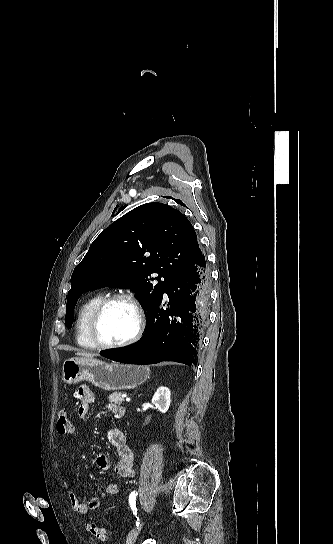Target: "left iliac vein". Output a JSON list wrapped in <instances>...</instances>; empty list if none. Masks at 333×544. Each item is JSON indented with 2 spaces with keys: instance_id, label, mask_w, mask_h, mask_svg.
I'll use <instances>...</instances> for the list:
<instances>
[{
  "instance_id": "left-iliac-vein-1",
  "label": "left iliac vein",
  "mask_w": 333,
  "mask_h": 544,
  "mask_svg": "<svg viewBox=\"0 0 333 544\" xmlns=\"http://www.w3.org/2000/svg\"><path fill=\"white\" fill-rule=\"evenodd\" d=\"M142 525H143V521L141 520V522H139V526H137L135 529H133V530L129 533V535H128V537H127L126 544H134V542H135V540H136V538H137V536H138V534H139V531H140Z\"/></svg>"
}]
</instances>
